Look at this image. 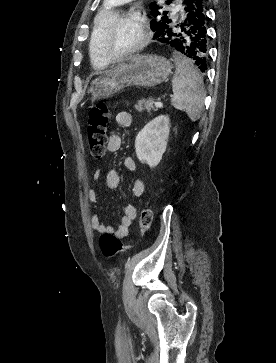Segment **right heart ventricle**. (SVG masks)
Here are the masks:
<instances>
[{
	"mask_svg": "<svg viewBox=\"0 0 276 363\" xmlns=\"http://www.w3.org/2000/svg\"><path fill=\"white\" fill-rule=\"evenodd\" d=\"M114 15L115 3L113 1H106L94 21V31L90 43V56L93 66L99 69L105 68L109 65V62L106 61L99 49L100 33Z\"/></svg>",
	"mask_w": 276,
	"mask_h": 363,
	"instance_id": "1",
	"label": "right heart ventricle"
}]
</instances>
